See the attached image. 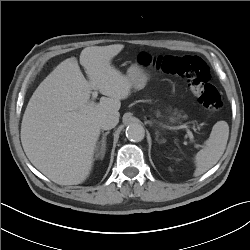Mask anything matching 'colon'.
Segmentation results:
<instances>
[{"label":"colon","instance_id":"obj_1","mask_svg":"<svg viewBox=\"0 0 250 250\" xmlns=\"http://www.w3.org/2000/svg\"><path fill=\"white\" fill-rule=\"evenodd\" d=\"M139 63L187 81L197 101L209 111L218 112L222 108L221 96L217 88L210 83V70L202 58L193 55L152 56L141 53Z\"/></svg>","mask_w":250,"mask_h":250}]
</instances>
